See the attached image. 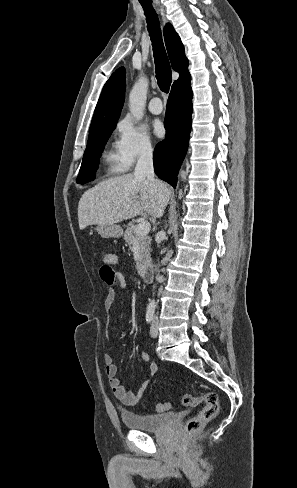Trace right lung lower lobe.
Here are the masks:
<instances>
[{
    "label": "right lung lower lobe",
    "mask_w": 297,
    "mask_h": 488,
    "mask_svg": "<svg viewBox=\"0 0 297 488\" xmlns=\"http://www.w3.org/2000/svg\"><path fill=\"white\" fill-rule=\"evenodd\" d=\"M191 78L174 83L169 94L166 116L165 140L154 150V170L159 178L174 188L177 174L188 148L191 130L192 90Z\"/></svg>",
    "instance_id": "1"
}]
</instances>
